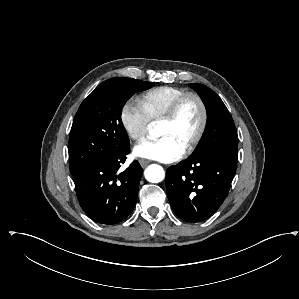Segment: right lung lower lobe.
<instances>
[{
  "instance_id": "1",
  "label": "right lung lower lobe",
  "mask_w": 299,
  "mask_h": 299,
  "mask_svg": "<svg viewBox=\"0 0 299 299\" xmlns=\"http://www.w3.org/2000/svg\"><path fill=\"white\" fill-rule=\"evenodd\" d=\"M129 152L130 147H127L73 175L80 206L98 223L120 222L134 208L143 170L134 161L125 171L118 173Z\"/></svg>"
}]
</instances>
